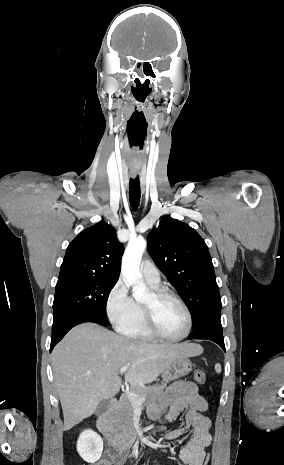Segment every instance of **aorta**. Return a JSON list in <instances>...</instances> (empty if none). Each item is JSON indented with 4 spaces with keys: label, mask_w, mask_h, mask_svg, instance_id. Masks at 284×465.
<instances>
[{
    "label": "aorta",
    "mask_w": 284,
    "mask_h": 465,
    "mask_svg": "<svg viewBox=\"0 0 284 465\" xmlns=\"http://www.w3.org/2000/svg\"><path fill=\"white\" fill-rule=\"evenodd\" d=\"M146 245V240L141 236L131 239L122 258L123 279L127 285L132 287L133 296L137 302L145 301L150 295L140 272V262Z\"/></svg>",
    "instance_id": "aorta-1"
}]
</instances>
